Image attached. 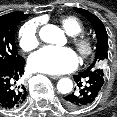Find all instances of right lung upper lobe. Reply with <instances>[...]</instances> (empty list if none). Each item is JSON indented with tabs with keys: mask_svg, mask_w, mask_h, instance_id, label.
<instances>
[{
	"mask_svg": "<svg viewBox=\"0 0 117 117\" xmlns=\"http://www.w3.org/2000/svg\"><path fill=\"white\" fill-rule=\"evenodd\" d=\"M20 14H23V13H21V12H12V13H9V14H5L4 16H6V15H20Z\"/></svg>",
	"mask_w": 117,
	"mask_h": 117,
	"instance_id": "right-lung-upper-lobe-1",
	"label": "right lung upper lobe"
}]
</instances>
